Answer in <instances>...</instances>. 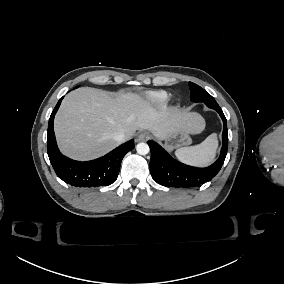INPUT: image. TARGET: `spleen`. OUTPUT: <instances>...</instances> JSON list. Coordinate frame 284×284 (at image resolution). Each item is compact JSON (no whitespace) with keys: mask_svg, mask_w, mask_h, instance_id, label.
Returning a JSON list of instances; mask_svg holds the SVG:
<instances>
[{"mask_svg":"<svg viewBox=\"0 0 284 284\" xmlns=\"http://www.w3.org/2000/svg\"><path fill=\"white\" fill-rule=\"evenodd\" d=\"M216 147V135L211 134L201 143L192 146L180 147L175 153L182 161L191 164L204 165L213 159Z\"/></svg>","mask_w":284,"mask_h":284,"instance_id":"3e777b00","label":"spleen"}]
</instances>
